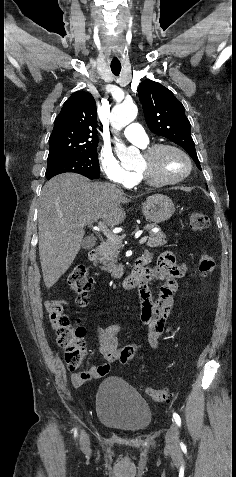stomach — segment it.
<instances>
[{
    "label": "stomach",
    "mask_w": 236,
    "mask_h": 477,
    "mask_svg": "<svg viewBox=\"0 0 236 477\" xmlns=\"http://www.w3.org/2000/svg\"><path fill=\"white\" fill-rule=\"evenodd\" d=\"M175 211L173 201L166 195L155 194L142 204V213L154 223H162L171 218Z\"/></svg>",
    "instance_id": "1"
}]
</instances>
